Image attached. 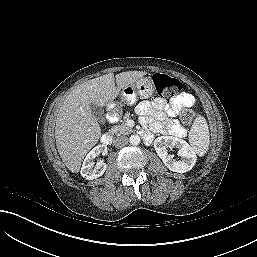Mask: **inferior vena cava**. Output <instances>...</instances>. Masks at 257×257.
Here are the masks:
<instances>
[{
    "mask_svg": "<svg viewBox=\"0 0 257 257\" xmlns=\"http://www.w3.org/2000/svg\"><path fill=\"white\" fill-rule=\"evenodd\" d=\"M128 143V137L127 136H119L114 140V145L117 148L123 147L127 145Z\"/></svg>",
    "mask_w": 257,
    "mask_h": 257,
    "instance_id": "obj_1",
    "label": "inferior vena cava"
}]
</instances>
